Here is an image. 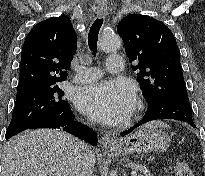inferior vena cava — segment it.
I'll return each mask as SVG.
<instances>
[{
	"instance_id": "602c4592",
	"label": "inferior vena cava",
	"mask_w": 205,
	"mask_h": 176,
	"mask_svg": "<svg viewBox=\"0 0 205 176\" xmlns=\"http://www.w3.org/2000/svg\"><path fill=\"white\" fill-rule=\"evenodd\" d=\"M75 158V176H93L91 151L86 143L78 140L75 142Z\"/></svg>"
}]
</instances>
